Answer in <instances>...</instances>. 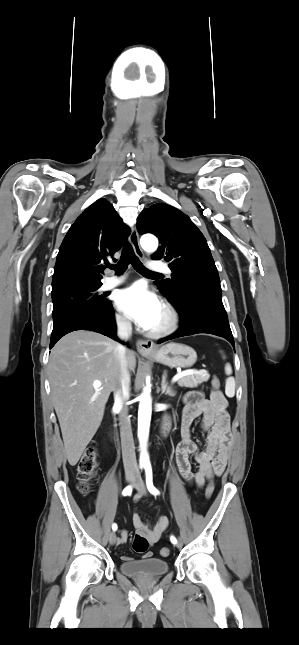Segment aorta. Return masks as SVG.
<instances>
[{
  "label": "aorta",
  "instance_id": "1",
  "mask_svg": "<svg viewBox=\"0 0 299 645\" xmlns=\"http://www.w3.org/2000/svg\"><path fill=\"white\" fill-rule=\"evenodd\" d=\"M142 248L147 252H155L158 248V240L155 236L145 235L140 240ZM138 410V438L140 443V464H148L147 441L152 413V399L147 388L139 397Z\"/></svg>",
  "mask_w": 299,
  "mask_h": 645
}]
</instances>
